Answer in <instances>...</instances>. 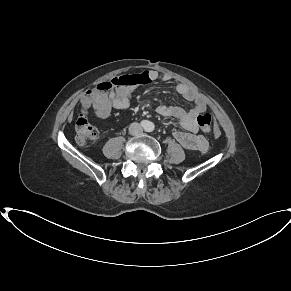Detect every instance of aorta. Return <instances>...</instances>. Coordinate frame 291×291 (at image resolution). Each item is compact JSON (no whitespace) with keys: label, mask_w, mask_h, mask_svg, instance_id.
Returning a JSON list of instances; mask_svg holds the SVG:
<instances>
[{"label":"aorta","mask_w":291,"mask_h":291,"mask_svg":"<svg viewBox=\"0 0 291 291\" xmlns=\"http://www.w3.org/2000/svg\"><path fill=\"white\" fill-rule=\"evenodd\" d=\"M154 129V125H153V123H151V130H153Z\"/></svg>","instance_id":"aorta-1"}]
</instances>
